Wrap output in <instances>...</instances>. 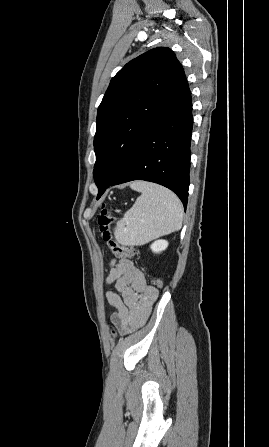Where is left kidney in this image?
Segmentation results:
<instances>
[{
    "label": "left kidney",
    "mask_w": 269,
    "mask_h": 447,
    "mask_svg": "<svg viewBox=\"0 0 269 447\" xmlns=\"http://www.w3.org/2000/svg\"><path fill=\"white\" fill-rule=\"evenodd\" d=\"M152 251H155V253H159V251H163V249H166L168 247V241L166 239H156V241H153L150 245Z\"/></svg>",
    "instance_id": "obj_1"
}]
</instances>
